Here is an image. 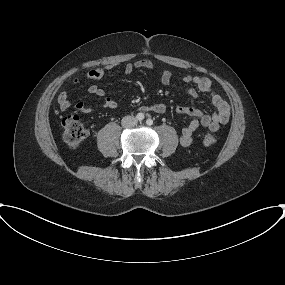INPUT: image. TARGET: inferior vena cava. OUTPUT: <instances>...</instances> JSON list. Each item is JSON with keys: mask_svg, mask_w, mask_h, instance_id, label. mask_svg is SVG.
<instances>
[{"mask_svg": "<svg viewBox=\"0 0 285 285\" xmlns=\"http://www.w3.org/2000/svg\"><path fill=\"white\" fill-rule=\"evenodd\" d=\"M136 124V118L133 116H125L122 119V126L125 128H130L135 126Z\"/></svg>", "mask_w": 285, "mask_h": 285, "instance_id": "inferior-vena-cava-1", "label": "inferior vena cava"}]
</instances>
